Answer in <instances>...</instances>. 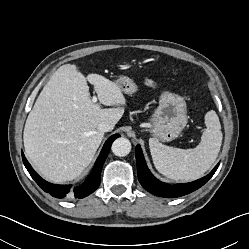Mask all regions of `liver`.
Returning <instances> with one entry per match:
<instances>
[{
    "instance_id": "obj_1",
    "label": "liver",
    "mask_w": 249,
    "mask_h": 249,
    "mask_svg": "<svg viewBox=\"0 0 249 249\" xmlns=\"http://www.w3.org/2000/svg\"><path fill=\"white\" fill-rule=\"evenodd\" d=\"M94 86L102 109L90 100ZM126 99L119 85L99 74L84 76L65 64L51 76L29 113L24 128L27 158L46 180L63 183L78 177L92 161L104 133L101 122L114 128Z\"/></svg>"
}]
</instances>
